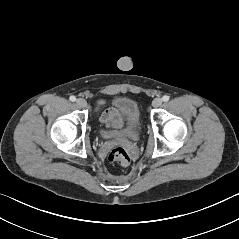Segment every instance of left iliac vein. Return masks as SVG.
Wrapping results in <instances>:
<instances>
[{"mask_svg": "<svg viewBox=\"0 0 239 239\" xmlns=\"http://www.w3.org/2000/svg\"><path fill=\"white\" fill-rule=\"evenodd\" d=\"M162 104V99L161 98H155L152 102V106L154 108L160 107Z\"/></svg>", "mask_w": 239, "mask_h": 239, "instance_id": "4c4485c4", "label": "left iliac vein"}]
</instances>
